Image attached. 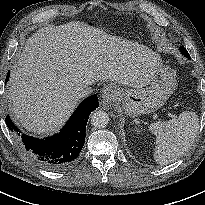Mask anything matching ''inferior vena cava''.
I'll use <instances>...</instances> for the list:
<instances>
[{
    "label": "inferior vena cava",
    "instance_id": "1",
    "mask_svg": "<svg viewBox=\"0 0 205 205\" xmlns=\"http://www.w3.org/2000/svg\"><path fill=\"white\" fill-rule=\"evenodd\" d=\"M91 84H93V82H85L80 86L76 87L73 91L74 96L77 99H81L91 94L93 91V89L90 87Z\"/></svg>",
    "mask_w": 205,
    "mask_h": 205
}]
</instances>
